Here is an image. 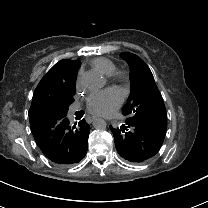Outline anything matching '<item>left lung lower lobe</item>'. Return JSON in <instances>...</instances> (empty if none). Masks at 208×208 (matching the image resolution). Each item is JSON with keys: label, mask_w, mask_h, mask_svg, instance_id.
I'll return each instance as SVG.
<instances>
[{"label": "left lung lower lobe", "mask_w": 208, "mask_h": 208, "mask_svg": "<svg viewBox=\"0 0 208 208\" xmlns=\"http://www.w3.org/2000/svg\"><path fill=\"white\" fill-rule=\"evenodd\" d=\"M110 130L117 152L131 163H143L160 150L165 133L143 122L127 118L120 128Z\"/></svg>", "instance_id": "1"}]
</instances>
